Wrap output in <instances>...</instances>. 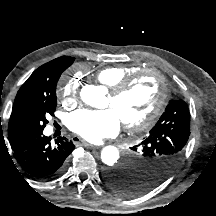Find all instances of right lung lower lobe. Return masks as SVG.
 <instances>
[{
  "label": "right lung lower lobe",
  "mask_w": 216,
  "mask_h": 216,
  "mask_svg": "<svg viewBox=\"0 0 216 216\" xmlns=\"http://www.w3.org/2000/svg\"><path fill=\"white\" fill-rule=\"evenodd\" d=\"M14 157L31 176L50 180L59 175L66 164V158L75 148L71 141L59 137L51 144V137L42 131H29L10 140Z\"/></svg>",
  "instance_id": "98d812e1"
}]
</instances>
